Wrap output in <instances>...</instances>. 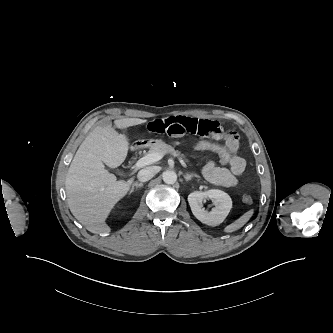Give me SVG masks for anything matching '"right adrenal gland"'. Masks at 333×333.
<instances>
[{"instance_id": "obj_1", "label": "right adrenal gland", "mask_w": 333, "mask_h": 333, "mask_svg": "<svg viewBox=\"0 0 333 333\" xmlns=\"http://www.w3.org/2000/svg\"><path fill=\"white\" fill-rule=\"evenodd\" d=\"M143 185H144L143 183L135 182V183L132 185L131 189H130V194L134 191V187L142 188Z\"/></svg>"}]
</instances>
